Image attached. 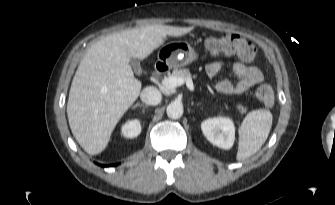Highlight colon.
Here are the masks:
<instances>
[{"label":"colon","instance_id":"1","mask_svg":"<svg viewBox=\"0 0 335 205\" xmlns=\"http://www.w3.org/2000/svg\"><path fill=\"white\" fill-rule=\"evenodd\" d=\"M207 50L214 56L218 55H236L240 60L246 63H252L256 57V48L249 41L235 34H227L221 37H211L206 41ZM258 101L271 107L274 104L275 96L270 85H261L256 90Z\"/></svg>","mask_w":335,"mask_h":205}]
</instances>
